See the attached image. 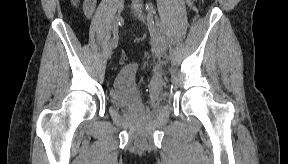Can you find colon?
Instances as JSON below:
<instances>
[{
  "label": "colon",
  "instance_id": "1",
  "mask_svg": "<svg viewBox=\"0 0 288 164\" xmlns=\"http://www.w3.org/2000/svg\"><path fill=\"white\" fill-rule=\"evenodd\" d=\"M86 12H87V13H90L89 10H86ZM126 60H127V55H126V53L122 52V53H121V61H122V62H125Z\"/></svg>",
  "mask_w": 288,
  "mask_h": 164
}]
</instances>
